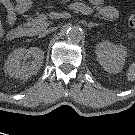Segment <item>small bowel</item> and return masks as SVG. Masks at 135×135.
<instances>
[{
    "instance_id": "obj_1",
    "label": "small bowel",
    "mask_w": 135,
    "mask_h": 135,
    "mask_svg": "<svg viewBox=\"0 0 135 135\" xmlns=\"http://www.w3.org/2000/svg\"><path fill=\"white\" fill-rule=\"evenodd\" d=\"M28 0H0V3L4 6L7 12V24H8V33L12 34L15 22L16 14L25 12L27 8ZM94 5L96 6L98 12L107 19H115L118 17V11L111 5H108L104 0H93ZM5 29L2 26L0 20V37L5 34Z\"/></svg>"
}]
</instances>
